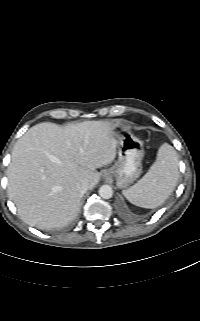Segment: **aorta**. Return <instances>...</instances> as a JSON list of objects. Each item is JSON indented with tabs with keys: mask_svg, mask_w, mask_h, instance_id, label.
I'll list each match as a JSON object with an SVG mask.
<instances>
[{
	"mask_svg": "<svg viewBox=\"0 0 200 321\" xmlns=\"http://www.w3.org/2000/svg\"><path fill=\"white\" fill-rule=\"evenodd\" d=\"M99 195L103 199H110L113 196V189L109 185H102L99 188Z\"/></svg>",
	"mask_w": 200,
	"mask_h": 321,
	"instance_id": "obj_1",
	"label": "aorta"
}]
</instances>
